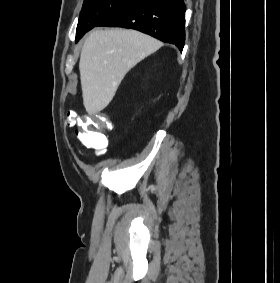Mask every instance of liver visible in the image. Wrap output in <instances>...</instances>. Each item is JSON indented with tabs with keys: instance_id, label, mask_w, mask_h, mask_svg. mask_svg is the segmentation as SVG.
<instances>
[{
	"instance_id": "6515ba94",
	"label": "liver",
	"mask_w": 280,
	"mask_h": 283,
	"mask_svg": "<svg viewBox=\"0 0 280 283\" xmlns=\"http://www.w3.org/2000/svg\"><path fill=\"white\" fill-rule=\"evenodd\" d=\"M161 47L149 35L135 30H95L86 39L79 70L83 104L88 114L108 106L126 73Z\"/></svg>"
}]
</instances>
